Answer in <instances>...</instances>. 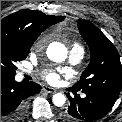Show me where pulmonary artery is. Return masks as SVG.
Segmentation results:
<instances>
[{
	"label": "pulmonary artery",
	"instance_id": "1",
	"mask_svg": "<svg viewBox=\"0 0 122 122\" xmlns=\"http://www.w3.org/2000/svg\"><path fill=\"white\" fill-rule=\"evenodd\" d=\"M83 56H84L83 48L80 47L79 45H74L69 52V63L73 65L78 64L83 59ZM24 73H26V71H24ZM81 96L85 97L84 94H82Z\"/></svg>",
	"mask_w": 122,
	"mask_h": 122
}]
</instances>
